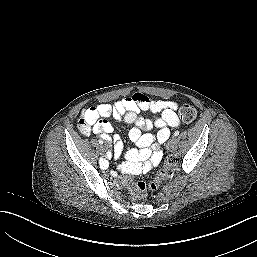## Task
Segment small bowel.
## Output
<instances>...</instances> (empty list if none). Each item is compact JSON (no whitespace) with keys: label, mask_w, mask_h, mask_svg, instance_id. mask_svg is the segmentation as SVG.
<instances>
[{"label":"small bowel","mask_w":257,"mask_h":257,"mask_svg":"<svg viewBox=\"0 0 257 257\" xmlns=\"http://www.w3.org/2000/svg\"><path fill=\"white\" fill-rule=\"evenodd\" d=\"M177 104L173 101L153 100L142 93L123 98L115 103L104 102L86 108L79 121V130L88 136L94 133L113 145V156L119 159L123 155L129 160L122 165L121 170L128 173H143L151 170L160 162L162 152L159 148L170 135V128L180 125L176 113ZM142 111L158 114L153 118H144ZM132 124L129 139L139 149L124 150L122 140L118 135L110 136L113 126L108 118ZM157 128L156 135L143 133L144 130Z\"/></svg>","instance_id":"small-bowel-1"}]
</instances>
